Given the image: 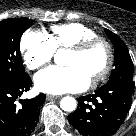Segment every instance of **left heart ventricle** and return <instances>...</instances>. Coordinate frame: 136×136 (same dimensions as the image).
I'll return each mask as SVG.
<instances>
[{"label": "left heart ventricle", "mask_w": 136, "mask_h": 136, "mask_svg": "<svg viewBox=\"0 0 136 136\" xmlns=\"http://www.w3.org/2000/svg\"><path fill=\"white\" fill-rule=\"evenodd\" d=\"M107 60V50L103 44H96L86 52L77 54L69 51L67 65L78 66L91 80L104 67Z\"/></svg>", "instance_id": "b2bd125f"}]
</instances>
